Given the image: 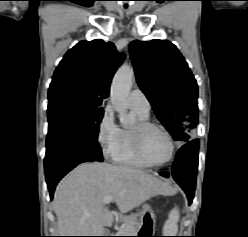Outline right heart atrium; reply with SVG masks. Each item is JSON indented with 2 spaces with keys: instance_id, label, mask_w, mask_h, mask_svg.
<instances>
[{
  "instance_id": "1",
  "label": "right heart atrium",
  "mask_w": 248,
  "mask_h": 237,
  "mask_svg": "<svg viewBox=\"0 0 248 237\" xmlns=\"http://www.w3.org/2000/svg\"><path fill=\"white\" fill-rule=\"evenodd\" d=\"M96 139L101 153L106 158H112L118 150L120 128L115 123L110 106H107L97 124Z\"/></svg>"
}]
</instances>
